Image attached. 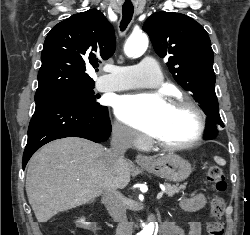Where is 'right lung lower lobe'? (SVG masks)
Segmentation results:
<instances>
[{
	"instance_id": "right-lung-lower-lobe-1",
	"label": "right lung lower lobe",
	"mask_w": 250,
	"mask_h": 235,
	"mask_svg": "<svg viewBox=\"0 0 250 235\" xmlns=\"http://www.w3.org/2000/svg\"><path fill=\"white\" fill-rule=\"evenodd\" d=\"M110 132L111 123L105 106L91 107L68 100L36 101L28 128L23 168L35 151L52 140L82 137L98 143L107 140Z\"/></svg>"
}]
</instances>
